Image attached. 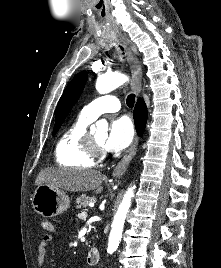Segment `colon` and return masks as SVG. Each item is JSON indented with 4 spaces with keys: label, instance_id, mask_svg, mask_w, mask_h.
I'll use <instances>...</instances> for the list:
<instances>
[{
    "label": "colon",
    "instance_id": "5ec220e1",
    "mask_svg": "<svg viewBox=\"0 0 221 268\" xmlns=\"http://www.w3.org/2000/svg\"><path fill=\"white\" fill-rule=\"evenodd\" d=\"M39 224H40V227H41L45 232H50V231H52V229L54 228V227H53V224H52L50 221L46 220V219H42V220H40Z\"/></svg>",
    "mask_w": 221,
    "mask_h": 268
}]
</instances>
